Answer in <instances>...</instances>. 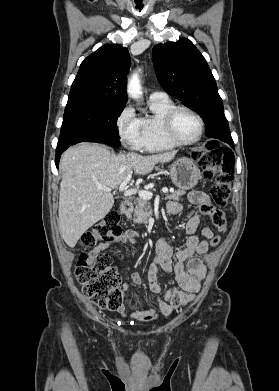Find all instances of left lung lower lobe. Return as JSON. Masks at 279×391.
Here are the masks:
<instances>
[{
  "mask_svg": "<svg viewBox=\"0 0 279 391\" xmlns=\"http://www.w3.org/2000/svg\"><path fill=\"white\" fill-rule=\"evenodd\" d=\"M226 143H228L230 146L234 147V145L231 141H227Z\"/></svg>",
  "mask_w": 279,
  "mask_h": 391,
  "instance_id": "1",
  "label": "left lung lower lobe"
}]
</instances>
